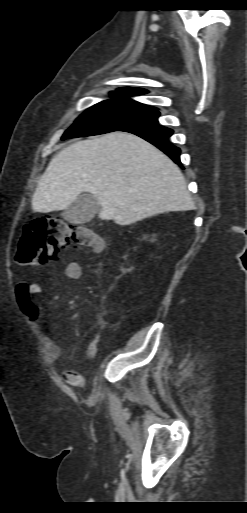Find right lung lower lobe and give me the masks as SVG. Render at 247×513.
Here are the masks:
<instances>
[{"label": "right lung lower lobe", "instance_id": "right-lung-lower-lobe-1", "mask_svg": "<svg viewBox=\"0 0 247 513\" xmlns=\"http://www.w3.org/2000/svg\"><path fill=\"white\" fill-rule=\"evenodd\" d=\"M120 131L130 132L147 140L182 167L180 162V149L168 140V137L172 135L173 130L159 125L157 118L126 126Z\"/></svg>", "mask_w": 247, "mask_h": 513}]
</instances>
